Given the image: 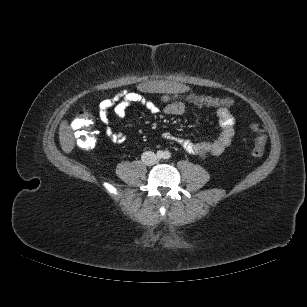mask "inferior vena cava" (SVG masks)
<instances>
[{
	"mask_svg": "<svg viewBox=\"0 0 307 307\" xmlns=\"http://www.w3.org/2000/svg\"><path fill=\"white\" fill-rule=\"evenodd\" d=\"M141 160L144 164L152 166L158 162V157L154 152L146 151L141 155Z\"/></svg>",
	"mask_w": 307,
	"mask_h": 307,
	"instance_id": "inferior-vena-cava-1",
	"label": "inferior vena cava"
}]
</instances>
